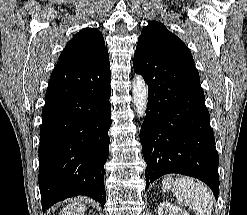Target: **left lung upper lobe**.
I'll return each mask as SVG.
<instances>
[{"label": "left lung upper lobe", "mask_w": 247, "mask_h": 215, "mask_svg": "<svg viewBox=\"0 0 247 215\" xmlns=\"http://www.w3.org/2000/svg\"><path fill=\"white\" fill-rule=\"evenodd\" d=\"M138 43L145 44L160 53L193 61L191 52L176 35L159 22L151 21L143 28Z\"/></svg>", "instance_id": "5c2ea615"}]
</instances>
